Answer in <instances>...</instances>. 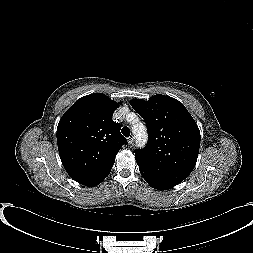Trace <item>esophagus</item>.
I'll return each mask as SVG.
<instances>
[{
  "mask_svg": "<svg viewBox=\"0 0 253 253\" xmlns=\"http://www.w3.org/2000/svg\"><path fill=\"white\" fill-rule=\"evenodd\" d=\"M133 144H134L133 138L130 137V138L128 139V145H129L130 147H132Z\"/></svg>",
  "mask_w": 253,
  "mask_h": 253,
  "instance_id": "obj_1",
  "label": "esophagus"
}]
</instances>
